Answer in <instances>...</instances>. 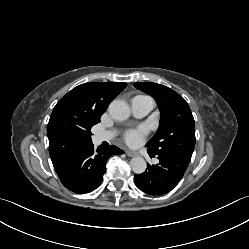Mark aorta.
I'll use <instances>...</instances> for the list:
<instances>
[{"instance_id":"1","label":"aorta","mask_w":249,"mask_h":249,"mask_svg":"<svg viewBox=\"0 0 249 249\" xmlns=\"http://www.w3.org/2000/svg\"><path fill=\"white\" fill-rule=\"evenodd\" d=\"M110 116L117 121H124L130 116L129 105L122 100H114L108 107ZM131 169L136 174H142L147 168V163L142 157H134L130 161Z\"/></svg>"}]
</instances>
